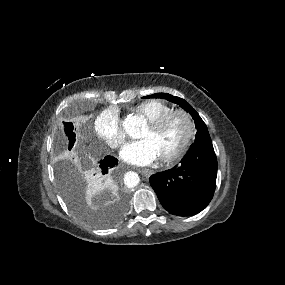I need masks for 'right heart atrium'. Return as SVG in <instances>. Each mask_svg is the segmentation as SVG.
<instances>
[{
    "label": "right heart atrium",
    "instance_id": "obj_1",
    "mask_svg": "<svg viewBox=\"0 0 285 285\" xmlns=\"http://www.w3.org/2000/svg\"><path fill=\"white\" fill-rule=\"evenodd\" d=\"M95 134L112 148L121 147L126 140L125 131L116 112L105 110L101 112L93 123Z\"/></svg>",
    "mask_w": 285,
    "mask_h": 285
}]
</instances>
